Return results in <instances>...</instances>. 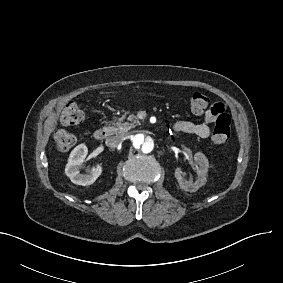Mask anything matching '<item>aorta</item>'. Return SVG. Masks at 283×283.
<instances>
[{
    "label": "aorta",
    "instance_id": "762f6f07",
    "mask_svg": "<svg viewBox=\"0 0 283 283\" xmlns=\"http://www.w3.org/2000/svg\"><path fill=\"white\" fill-rule=\"evenodd\" d=\"M155 148L154 138L146 131H140L130 137V151L136 155H148Z\"/></svg>",
    "mask_w": 283,
    "mask_h": 283
}]
</instances>
